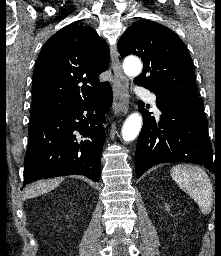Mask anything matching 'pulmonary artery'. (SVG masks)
Listing matches in <instances>:
<instances>
[{"label": "pulmonary artery", "instance_id": "obj_1", "mask_svg": "<svg viewBox=\"0 0 221 256\" xmlns=\"http://www.w3.org/2000/svg\"><path fill=\"white\" fill-rule=\"evenodd\" d=\"M136 93L142 97H145L156 109V99H155V96L151 92H149L145 88L137 87Z\"/></svg>", "mask_w": 221, "mask_h": 256}]
</instances>
